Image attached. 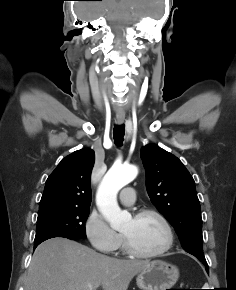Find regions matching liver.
Wrapping results in <instances>:
<instances>
[{"mask_svg":"<svg viewBox=\"0 0 236 290\" xmlns=\"http://www.w3.org/2000/svg\"><path fill=\"white\" fill-rule=\"evenodd\" d=\"M149 265L97 253L76 241L52 238L35 250L25 290H127L130 281Z\"/></svg>","mask_w":236,"mask_h":290,"instance_id":"1","label":"liver"}]
</instances>
